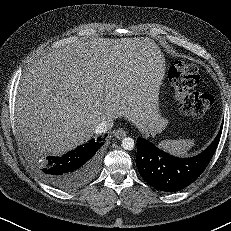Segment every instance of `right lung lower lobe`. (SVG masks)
Returning a JSON list of instances; mask_svg holds the SVG:
<instances>
[{
    "mask_svg": "<svg viewBox=\"0 0 231 231\" xmlns=\"http://www.w3.org/2000/svg\"><path fill=\"white\" fill-rule=\"evenodd\" d=\"M105 138L98 137L62 156L36 160L38 174L52 186L71 191L88 183L98 172Z\"/></svg>",
    "mask_w": 231,
    "mask_h": 231,
    "instance_id": "obj_1",
    "label": "right lung lower lobe"
}]
</instances>
